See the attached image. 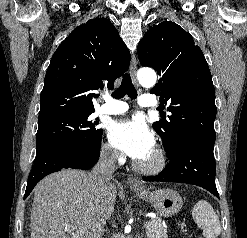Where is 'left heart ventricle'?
<instances>
[{"mask_svg":"<svg viewBox=\"0 0 247 238\" xmlns=\"http://www.w3.org/2000/svg\"><path fill=\"white\" fill-rule=\"evenodd\" d=\"M151 159H152V153H150L145 158L141 159V161L144 162V163H149L151 161Z\"/></svg>","mask_w":247,"mask_h":238,"instance_id":"left-heart-ventricle-1","label":"left heart ventricle"}]
</instances>
